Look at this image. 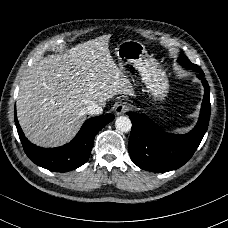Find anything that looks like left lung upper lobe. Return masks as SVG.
I'll use <instances>...</instances> for the list:
<instances>
[{
    "mask_svg": "<svg viewBox=\"0 0 228 228\" xmlns=\"http://www.w3.org/2000/svg\"><path fill=\"white\" fill-rule=\"evenodd\" d=\"M178 62L185 68L191 69L193 71H196L198 73H203L201 68L193 63L190 62V60L187 58V56L183 53L180 54L178 58Z\"/></svg>",
    "mask_w": 228,
    "mask_h": 228,
    "instance_id": "obj_1",
    "label": "left lung upper lobe"
}]
</instances>
